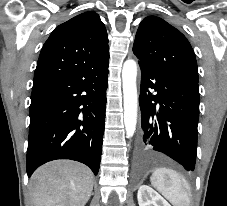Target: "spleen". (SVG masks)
<instances>
[{"mask_svg":"<svg viewBox=\"0 0 227 206\" xmlns=\"http://www.w3.org/2000/svg\"><path fill=\"white\" fill-rule=\"evenodd\" d=\"M150 181L173 206L190 205V186L176 171L168 168H158L153 172Z\"/></svg>","mask_w":227,"mask_h":206,"instance_id":"1","label":"spleen"}]
</instances>
